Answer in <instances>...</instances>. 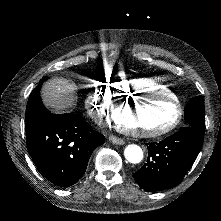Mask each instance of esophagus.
I'll return each instance as SVG.
<instances>
[{
	"label": "esophagus",
	"mask_w": 221,
	"mask_h": 221,
	"mask_svg": "<svg viewBox=\"0 0 221 221\" xmlns=\"http://www.w3.org/2000/svg\"><path fill=\"white\" fill-rule=\"evenodd\" d=\"M108 139L111 143L117 144V145H122L125 143L124 140H122L121 138L116 137L114 135H110Z\"/></svg>",
	"instance_id": "obj_1"
}]
</instances>
